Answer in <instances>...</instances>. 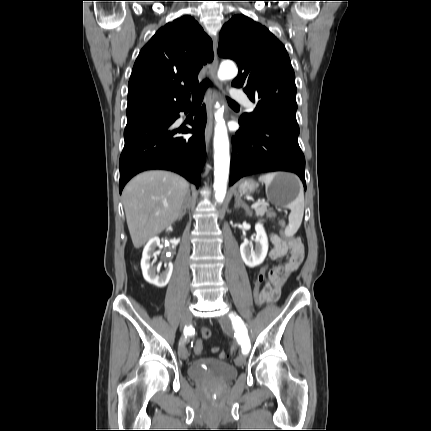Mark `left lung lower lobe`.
Segmentation results:
<instances>
[{"instance_id":"obj_1","label":"left lung lower lobe","mask_w":431,"mask_h":431,"mask_svg":"<svg viewBox=\"0 0 431 431\" xmlns=\"http://www.w3.org/2000/svg\"><path fill=\"white\" fill-rule=\"evenodd\" d=\"M232 139L229 185L239 178L260 172L289 171L305 182V158L298 144L299 126L266 118L249 125L239 121Z\"/></svg>"}]
</instances>
